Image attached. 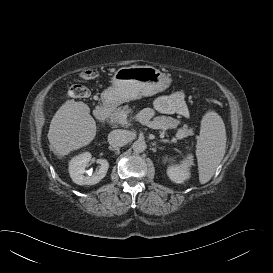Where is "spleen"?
Segmentation results:
<instances>
[{
	"mask_svg": "<svg viewBox=\"0 0 273 273\" xmlns=\"http://www.w3.org/2000/svg\"><path fill=\"white\" fill-rule=\"evenodd\" d=\"M226 140V129L222 118L213 110L207 111L201 120L196 145L201 184L207 183L212 178L221 163L225 155Z\"/></svg>",
	"mask_w": 273,
	"mask_h": 273,
	"instance_id": "spleen-1",
	"label": "spleen"
}]
</instances>
